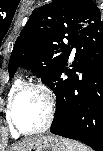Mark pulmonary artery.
I'll return each instance as SVG.
<instances>
[{
	"mask_svg": "<svg viewBox=\"0 0 103 151\" xmlns=\"http://www.w3.org/2000/svg\"><path fill=\"white\" fill-rule=\"evenodd\" d=\"M75 51H76V48H75V47H73V53H75Z\"/></svg>",
	"mask_w": 103,
	"mask_h": 151,
	"instance_id": "obj_1",
	"label": "pulmonary artery"
}]
</instances>
